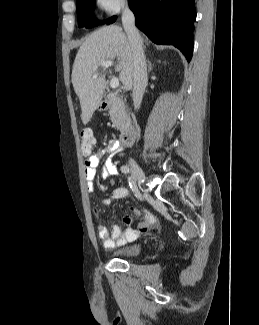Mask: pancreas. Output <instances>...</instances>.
Returning a JSON list of instances; mask_svg holds the SVG:
<instances>
[{
  "label": "pancreas",
  "mask_w": 259,
  "mask_h": 325,
  "mask_svg": "<svg viewBox=\"0 0 259 325\" xmlns=\"http://www.w3.org/2000/svg\"><path fill=\"white\" fill-rule=\"evenodd\" d=\"M110 120L113 125L120 131H126L129 124V114L124 102L115 94L110 95Z\"/></svg>",
  "instance_id": "1"
}]
</instances>
